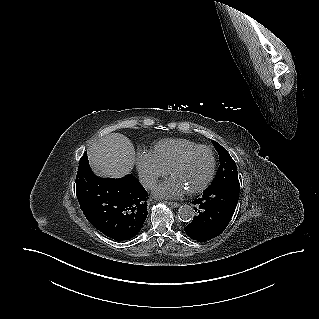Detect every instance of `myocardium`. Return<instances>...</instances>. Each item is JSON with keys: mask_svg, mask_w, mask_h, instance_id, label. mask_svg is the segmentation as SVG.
Masks as SVG:
<instances>
[{"mask_svg": "<svg viewBox=\"0 0 319 319\" xmlns=\"http://www.w3.org/2000/svg\"><path fill=\"white\" fill-rule=\"evenodd\" d=\"M200 150H205L207 151L210 156H211V168L210 171L206 177V179L204 180V182L199 185L198 187L188 190L187 193L190 195H194V194H198L202 191H204L212 182L214 175H215V171H216V157H215V153L214 151L206 145H198L195 146L193 148H190L186 151H184L169 167L168 169V173L170 176H172V173L178 168L180 167L191 155H193L194 153L200 151Z\"/></svg>", "mask_w": 319, "mask_h": 319, "instance_id": "1", "label": "myocardium"}]
</instances>
